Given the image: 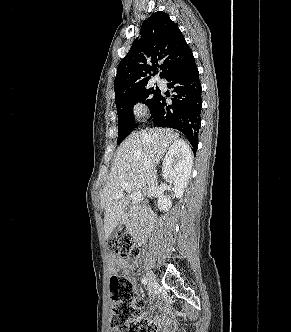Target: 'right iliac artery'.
I'll return each mask as SVG.
<instances>
[{"mask_svg": "<svg viewBox=\"0 0 291 332\" xmlns=\"http://www.w3.org/2000/svg\"><path fill=\"white\" fill-rule=\"evenodd\" d=\"M141 282L144 286L147 285V279L145 277L141 279Z\"/></svg>", "mask_w": 291, "mask_h": 332, "instance_id": "obj_1", "label": "right iliac artery"}]
</instances>
